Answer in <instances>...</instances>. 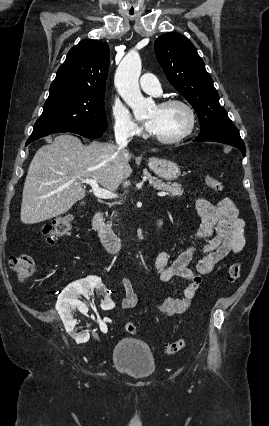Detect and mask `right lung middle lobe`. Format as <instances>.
Instances as JSON below:
<instances>
[{"mask_svg":"<svg viewBox=\"0 0 269 426\" xmlns=\"http://www.w3.org/2000/svg\"><path fill=\"white\" fill-rule=\"evenodd\" d=\"M103 100V94L69 91L50 93L28 140L34 141L53 133L75 132L82 128L105 131L107 119Z\"/></svg>","mask_w":269,"mask_h":426,"instance_id":"1","label":"right lung middle lobe"}]
</instances>
